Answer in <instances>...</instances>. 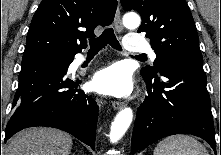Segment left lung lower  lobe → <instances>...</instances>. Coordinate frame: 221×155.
Listing matches in <instances>:
<instances>
[{"label":"left lung lower lobe","mask_w":221,"mask_h":155,"mask_svg":"<svg viewBox=\"0 0 221 155\" xmlns=\"http://www.w3.org/2000/svg\"><path fill=\"white\" fill-rule=\"evenodd\" d=\"M159 73L163 79L142 75L147 84L148 96L137 111L131 141L132 153L173 134L199 136L216 152L211 102L203 64L172 61Z\"/></svg>","instance_id":"1"}]
</instances>
